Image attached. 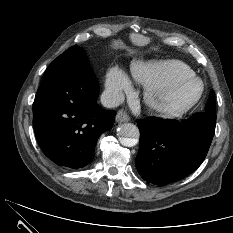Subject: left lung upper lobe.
<instances>
[{"label":"left lung upper lobe","instance_id":"obj_1","mask_svg":"<svg viewBox=\"0 0 233 233\" xmlns=\"http://www.w3.org/2000/svg\"><path fill=\"white\" fill-rule=\"evenodd\" d=\"M215 111H216V106H215L214 91H211L209 100L205 106L204 113L208 115H215Z\"/></svg>","mask_w":233,"mask_h":233}]
</instances>
